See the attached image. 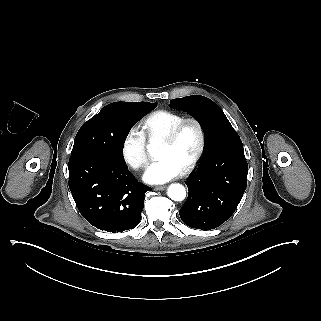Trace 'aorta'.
<instances>
[{
    "label": "aorta",
    "mask_w": 321,
    "mask_h": 321,
    "mask_svg": "<svg viewBox=\"0 0 321 321\" xmlns=\"http://www.w3.org/2000/svg\"><path fill=\"white\" fill-rule=\"evenodd\" d=\"M153 149L151 150V155H155L156 149L154 144L152 145ZM169 198H171L174 201H183L186 197V190L183 185L181 184H172L168 188L167 192Z\"/></svg>",
    "instance_id": "762f6f07"
}]
</instances>
